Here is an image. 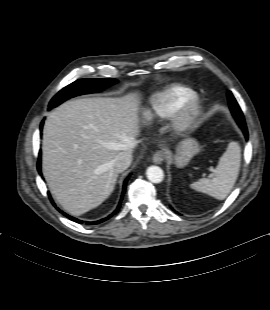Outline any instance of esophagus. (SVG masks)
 <instances>
[{
	"label": "esophagus",
	"mask_w": 270,
	"mask_h": 310,
	"mask_svg": "<svg viewBox=\"0 0 270 310\" xmlns=\"http://www.w3.org/2000/svg\"><path fill=\"white\" fill-rule=\"evenodd\" d=\"M165 157H166L165 150H158L157 152L154 153L152 161L156 164H160L161 162L164 161Z\"/></svg>",
	"instance_id": "obj_1"
}]
</instances>
